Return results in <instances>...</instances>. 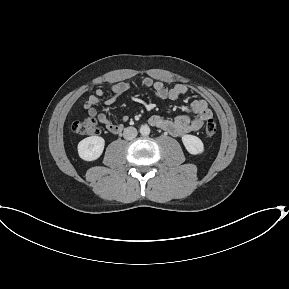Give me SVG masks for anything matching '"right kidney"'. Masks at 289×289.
Instances as JSON below:
<instances>
[{"label": "right kidney", "instance_id": "1", "mask_svg": "<svg viewBox=\"0 0 289 289\" xmlns=\"http://www.w3.org/2000/svg\"><path fill=\"white\" fill-rule=\"evenodd\" d=\"M105 140L99 136H90L78 144V154L85 161L98 159L104 150Z\"/></svg>", "mask_w": 289, "mask_h": 289}]
</instances>
